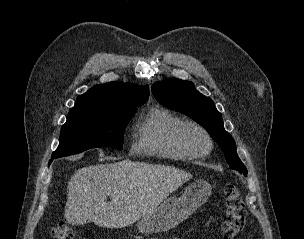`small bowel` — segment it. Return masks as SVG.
<instances>
[{"label": "small bowel", "instance_id": "1", "mask_svg": "<svg viewBox=\"0 0 304 239\" xmlns=\"http://www.w3.org/2000/svg\"><path fill=\"white\" fill-rule=\"evenodd\" d=\"M172 239H179V238L175 237V238H172Z\"/></svg>", "mask_w": 304, "mask_h": 239}]
</instances>
